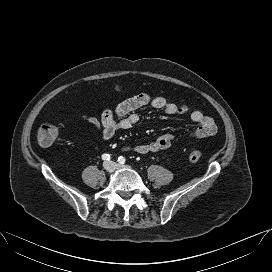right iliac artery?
I'll return each mask as SVG.
<instances>
[{
    "label": "right iliac artery",
    "instance_id": "1",
    "mask_svg": "<svg viewBox=\"0 0 272 272\" xmlns=\"http://www.w3.org/2000/svg\"><path fill=\"white\" fill-rule=\"evenodd\" d=\"M102 159H103L104 161H109V160H110V155L107 154V153H105V154L102 155Z\"/></svg>",
    "mask_w": 272,
    "mask_h": 272
}]
</instances>
